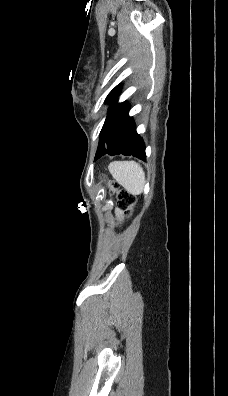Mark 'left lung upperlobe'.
<instances>
[{"label": "left lung upper lobe", "instance_id": "1", "mask_svg": "<svg viewBox=\"0 0 228 396\" xmlns=\"http://www.w3.org/2000/svg\"><path fill=\"white\" fill-rule=\"evenodd\" d=\"M120 89H121V87L118 85V86H116L110 93H109V95L107 96V98H106V102H113L115 99H116V97L118 96V94H119V92H120Z\"/></svg>", "mask_w": 228, "mask_h": 396}]
</instances>
